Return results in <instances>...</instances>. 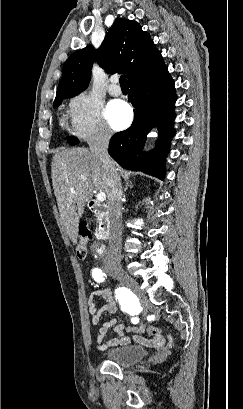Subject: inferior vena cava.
<instances>
[{"label":"inferior vena cava","instance_id":"obj_1","mask_svg":"<svg viewBox=\"0 0 243 409\" xmlns=\"http://www.w3.org/2000/svg\"><path fill=\"white\" fill-rule=\"evenodd\" d=\"M111 133L107 129L98 131L88 142L90 152L98 157L107 173V204L109 210L110 238L107 267L109 269L121 268V234H122V187L120 177L108 154V145Z\"/></svg>","mask_w":243,"mask_h":409}]
</instances>
